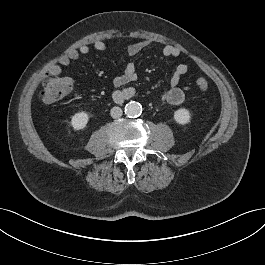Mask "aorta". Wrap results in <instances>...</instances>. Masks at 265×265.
Instances as JSON below:
<instances>
[{
    "label": "aorta",
    "mask_w": 265,
    "mask_h": 265,
    "mask_svg": "<svg viewBox=\"0 0 265 265\" xmlns=\"http://www.w3.org/2000/svg\"><path fill=\"white\" fill-rule=\"evenodd\" d=\"M142 113V106L140 103L131 101L125 106V114L128 117H138Z\"/></svg>",
    "instance_id": "aorta-1"
}]
</instances>
